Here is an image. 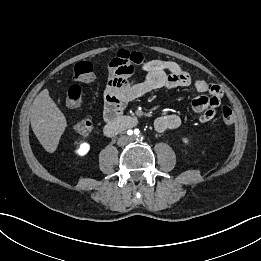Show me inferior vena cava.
Returning a JSON list of instances; mask_svg holds the SVG:
<instances>
[{
    "label": "inferior vena cava",
    "instance_id": "obj_1",
    "mask_svg": "<svg viewBox=\"0 0 261 261\" xmlns=\"http://www.w3.org/2000/svg\"><path fill=\"white\" fill-rule=\"evenodd\" d=\"M132 141L131 138L129 137H126V136H122L118 139V145L122 146V145H125L127 143H130Z\"/></svg>",
    "mask_w": 261,
    "mask_h": 261
}]
</instances>
